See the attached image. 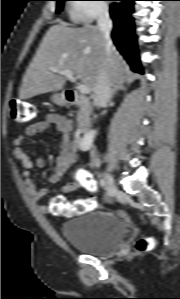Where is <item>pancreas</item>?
<instances>
[{
  "instance_id": "obj_1",
  "label": "pancreas",
  "mask_w": 180,
  "mask_h": 299,
  "mask_svg": "<svg viewBox=\"0 0 180 299\" xmlns=\"http://www.w3.org/2000/svg\"><path fill=\"white\" fill-rule=\"evenodd\" d=\"M84 117V109L81 107L77 113V121L80 123Z\"/></svg>"
}]
</instances>
